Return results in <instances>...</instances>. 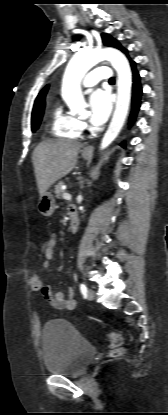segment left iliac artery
Masks as SVG:
<instances>
[{"label":"left iliac artery","mask_w":168,"mask_h":415,"mask_svg":"<svg viewBox=\"0 0 168 415\" xmlns=\"http://www.w3.org/2000/svg\"><path fill=\"white\" fill-rule=\"evenodd\" d=\"M80 291H81V293L83 295H86L87 294V287H86V285L84 283H81L80 284Z\"/></svg>","instance_id":"left-iliac-artery-1"}]
</instances>
